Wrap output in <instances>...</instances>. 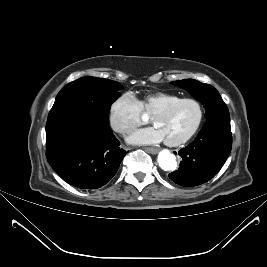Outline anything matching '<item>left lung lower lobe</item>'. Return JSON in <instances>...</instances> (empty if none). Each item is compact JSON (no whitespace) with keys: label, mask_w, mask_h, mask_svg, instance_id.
<instances>
[{"label":"left lung lower lobe","mask_w":267,"mask_h":267,"mask_svg":"<svg viewBox=\"0 0 267 267\" xmlns=\"http://www.w3.org/2000/svg\"><path fill=\"white\" fill-rule=\"evenodd\" d=\"M231 147L229 116L207 119L196 139L179 151L180 167L169 178L184 187L203 184L218 173Z\"/></svg>","instance_id":"left-lung-lower-lobe-1"}]
</instances>
